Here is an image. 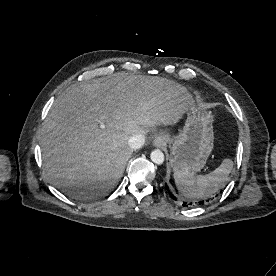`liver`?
I'll use <instances>...</instances> for the list:
<instances>
[{
	"instance_id": "obj_1",
	"label": "liver",
	"mask_w": 276,
	"mask_h": 276,
	"mask_svg": "<svg viewBox=\"0 0 276 276\" xmlns=\"http://www.w3.org/2000/svg\"><path fill=\"white\" fill-rule=\"evenodd\" d=\"M194 102L184 86L158 76L118 73L67 88L41 132L49 181L75 199L103 195L123 175L133 152L128 139L176 124Z\"/></svg>"
}]
</instances>
